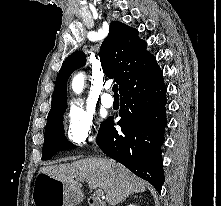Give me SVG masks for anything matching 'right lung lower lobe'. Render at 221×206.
<instances>
[{"instance_id":"98d812e1","label":"right lung lower lobe","mask_w":221,"mask_h":206,"mask_svg":"<svg viewBox=\"0 0 221 206\" xmlns=\"http://www.w3.org/2000/svg\"><path fill=\"white\" fill-rule=\"evenodd\" d=\"M166 90L162 71L156 63L120 91L121 119L117 124L121 130H116L113 117H108L97 136V144L107 156L158 191L164 183L160 147L167 124Z\"/></svg>"}]
</instances>
